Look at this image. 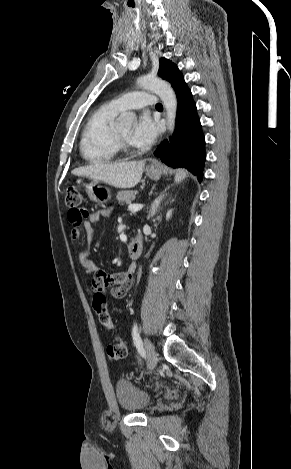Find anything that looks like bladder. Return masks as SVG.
<instances>
[{"label":"bladder","mask_w":291,"mask_h":469,"mask_svg":"<svg viewBox=\"0 0 291 469\" xmlns=\"http://www.w3.org/2000/svg\"><path fill=\"white\" fill-rule=\"evenodd\" d=\"M116 398L122 409L131 413L142 412L151 403L148 393L140 390L128 380L120 379L115 387Z\"/></svg>","instance_id":"obj_1"}]
</instances>
